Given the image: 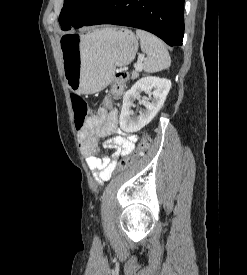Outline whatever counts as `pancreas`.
Wrapping results in <instances>:
<instances>
[{"label": "pancreas", "instance_id": "obj_1", "mask_svg": "<svg viewBox=\"0 0 247 275\" xmlns=\"http://www.w3.org/2000/svg\"><path fill=\"white\" fill-rule=\"evenodd\" d=\"M139 77V73H138V71H133L132 72V76H131V79H137Z\"/></svg>", "mask_w": 247, "mask_h": 275}]
</instances>
